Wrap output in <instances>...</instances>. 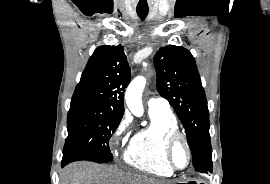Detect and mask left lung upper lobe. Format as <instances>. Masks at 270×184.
Wrapping results in <instances>:
<instances>
[{"label": "left lung upper lobe", "instance_id": "obj_1", "mask_svg": "<svg viewBox=\"0 0 270 184\" xmlns=\"http://www.w3.org/2000/svg\"><path fill=\"white\" fill-rule=\"evenodd\" d=\"M157 91L182 122L197 172H212L209 112L192 54L180 46L160 48L154 56Z\"/></svg>", "mask_w": 270, "mask_h": 184}]
</instances>
